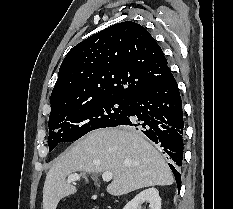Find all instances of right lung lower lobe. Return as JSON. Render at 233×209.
Masks as SVG:
<instances>
[{
  "label": "right lung lower lobe",
  "mask_w": 233,
  "mask_h": 209,
  "mask_svg": "<svg viewBox=\"0 0 233 209\" xmlns=\"http://www.w3.org/2000/svg\"><path fill=\"white\" fill-rule=\"evenodd\" d=\"M129 125L143 132L158 144L173 164L168 163L177 183L181 187L184 122L182 101L172 73L155 88L134 96L129 103L125 118L110 126Z\"/></svg>",
  "instance_id": "98d812e1"
}]
</instances>
